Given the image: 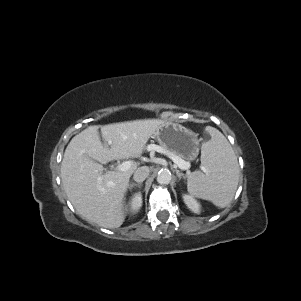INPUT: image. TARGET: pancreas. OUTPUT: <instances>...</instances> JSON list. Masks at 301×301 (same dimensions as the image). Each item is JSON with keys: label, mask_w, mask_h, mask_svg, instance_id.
I'll use <instances>...</instances> for the list:
<instances>
[{"label": "pancreas", "mask_w": 301, "mask_h": 301, "mask_svg": "<svg viewBox=\"0 0 301 301\" xmlns=\"http://www.w3.org/2000/svg\"><path fill=\"white\" fill-rule=\"evenodd\" d=\"M162 150H163V152H165L166 150L164 149V148H162ZM172 156H177V155H175V154H172V153H170ZM177 157H179V156H177ZM179 158H181V157H179ZM182 159V158H181ZM183 160V159H182Z\"/></svg>", "instance_id": "cf45deb5"}]
</instances>
